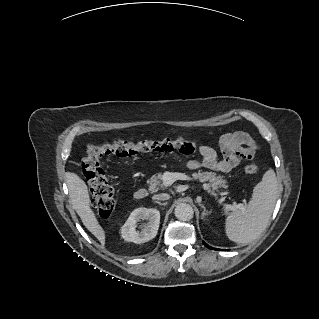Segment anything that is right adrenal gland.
<instances>
[{
	"label": "right adrenal gland",
	"instance_id": "right-adrenal-gland-1",
	"mask_svg": "<svg viewBox=\"0 0 319 319\" xmlns=\"http://www.w3.org/2000/svg\"><path fill=\"white\" fill-rule=\"evenodd\" d=\"M154 203H157V204H159L161 206H165L167 204V203H161V202H157V201H155Z\"/></svg>",
	"mask_w": 319,
	"mask_h": 319
}]
</instances>
